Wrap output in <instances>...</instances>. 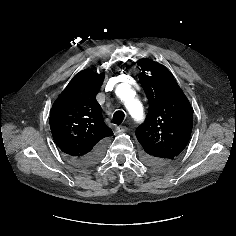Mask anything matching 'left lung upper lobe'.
<instances>
[{"instance_id": "1", "label": "left lung upper lobe", "mask_w": 236, "mask_h": 236, "mask_svg": "<svg viewBox=\"0 0 236 236\" xmlns=\"http://www.w3.org/2000/svg\"><path fill=\"white\" fill-rule=\"evenodd\" d=\"M140 83L149 102L145 122L137 127L141 157L151 166L166 167L184 150L191 136V105L172 73L158 63L143 58Z\"/></svg>"}]
</instances>
